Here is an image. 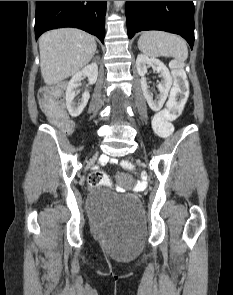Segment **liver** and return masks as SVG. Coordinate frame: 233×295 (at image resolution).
I'll return each mask as SVG.
<instances>
[{"label":"liver","mask_w":233,"mask_h":295,"mask_svg":"<svg viewBox=\"0 0 233 295\" xmlns=\"http://www.w3.org/2000/svg\"><path fill=\"white\" fill-rule=\"evenodd\" d=\"M96 48L94 37L79 29L62 28L44 33L39 38L44 82L54 85L75 74L91 61Z\"/></svg>","instance_id":"1"}]
</instances>
